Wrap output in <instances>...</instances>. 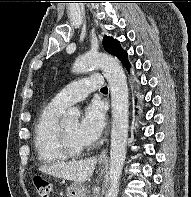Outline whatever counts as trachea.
Returning a JSON list of instances; mask_svg holds the SVG:
<instances>
[{
  "label": "trachea",
  "mask_w": 191,
  "mask_h": 197,
  "mask_svg": "<svg viewBox=\"0 0 191 197\" xmlns=\"http://www.w3.org/2000/svg\"><path fill=\"white\" fill-rule=\"evenodd\" d=\"M101 90H108V88L107 87H103Z\"/></svg>",
  "instance_id": "obj_1"
}]
</instances>
